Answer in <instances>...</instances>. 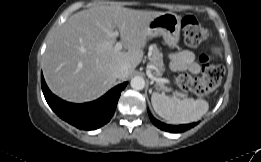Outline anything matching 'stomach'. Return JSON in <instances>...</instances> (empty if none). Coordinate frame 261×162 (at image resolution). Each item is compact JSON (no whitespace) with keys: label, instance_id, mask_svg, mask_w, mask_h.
Segmentation results:
<instances>
[{"label":"stomach","instance_id":"1","mask_svg":"<svg viewBox=\"0 0 261 162\" xmlns=\"http://www.w3.org/2000/svg\"><path fill=\"white\" fill-rule=\"evenodd\" d=\"M149 37L162 36L165 44L173 49L180 37L181 19L172 12L154 17L147 25Z\"/></svg>","mask_w":261,"mask_h":162}]
</instances>
